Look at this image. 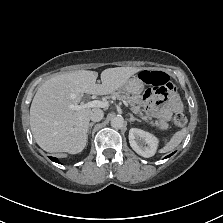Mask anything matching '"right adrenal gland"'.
<instances>
[{"label":"right adrenal gland","instance_id":"obj_1","mask_svg":"<svg viewBox=\"0 0 223 223\" xmlns=\"http://www.w3.org/2000/svg\"><path fill=\"white\" fill-rule=\"evenodd\" d=\"M94 124H95V122H91V123L89 124L88 132H87V139H88V134H91V129H92V127H93Z\"/></svg>","mask_w":223,"mask_h":223}]
</instances>
